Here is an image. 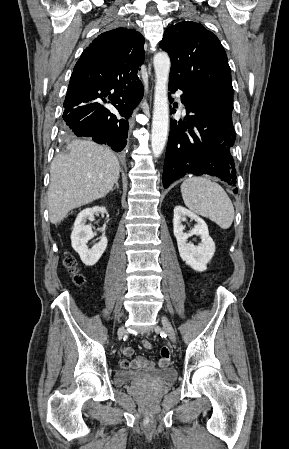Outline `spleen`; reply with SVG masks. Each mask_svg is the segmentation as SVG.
Here are the masks:
<instances>
[{
	"label": "spleen",
	"mask_w": 289,
	"mask_h": 449,
	"mask_svg": "<svg viewBox=\"0 0 289 449\" xmlns=\"http://www.w3.org/2000/svg\"><path fill=\"white\" fill-rule=\"evenodd\" d=\"M185 205L195 213L228 229L234 220V207L225 190L208 177H190L181 184Z\"/></svg>",
	"instance_id": "3e777b00"
}]
</instances>
